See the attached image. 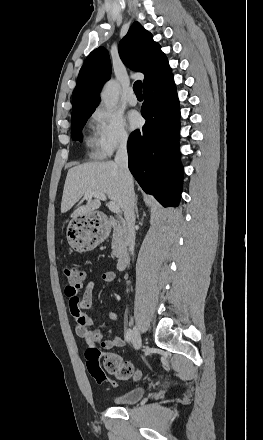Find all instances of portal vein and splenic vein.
<instances>
[{"label": "portal vein and splenic vein", "instance_id": "portal-vein-and-splenic-vein-1", "mask_svg": "<svg viewBox=\"0 0 263 440\" xmlns=\"http://www.w3.org/2000/svg\"><path fill=\"white\" fill-rule=\"evenodd\" d=\"M84 197L85 198L95 197V198H98V199H100L102 201H106L107 200L106 195L104 193H101V192H87V193H85ZM107 206H108V208H109V210L111 212L117 213V214L120 213V207L118 206V204L116 202L109 201L107 203Z\"/></svg>", "mask_w": 263, "mask_h": 440}]
</instances>
